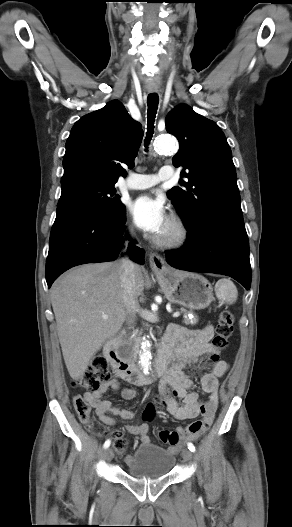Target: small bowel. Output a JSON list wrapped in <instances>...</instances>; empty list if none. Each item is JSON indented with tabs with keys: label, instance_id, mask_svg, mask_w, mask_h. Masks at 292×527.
Here are the masks:
<instances>
[{
	"label": "small bowel",
	"instance_id": "small-bowel-1",
	"mask_svg": "<svg viewBox=\"0 0 292 527\" xmlns=\"http://www.w3.org/2000/svg\"><path fill=\"white\" fill-rule=\"evenodd\" d=\"M213 336V327L206 326L201 329H188L178 325L169 326L165 341L170 349V359L167 372L161 379L160 390L164 397V406L176 420L193 419L201 415L202 420L195 421L186 429L178 428L176 431H160L158 437L169 444V450L173 453L179 451L187 440H194L205 432L211 425L218 407L219 378L222 377L228 364L218 361L210 372L204 374L200 380L201 389L209 394V398L202 402L199 394L193 390V383L184 373V368L211 352L214 347L210 340ZM119 379L123 377L116 372L115 376L102 384L94 392H87L84 398L95 409L99 419L106 425L115 424V418L132 419V411L120 409L112 404L110 400L101 399L108 389H119ZM122 397L130 400L135 397L136 392L130 388L121 390ZM174 396L182 400L179 404ZM125 431L140 437L144 443H150L149 427L147 424L126 425Z\"/></svg>",
	"mask_w": 292,
	"mask_h": 527
}]
</instances>
